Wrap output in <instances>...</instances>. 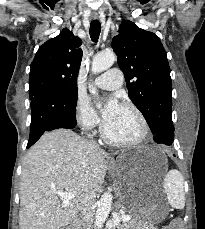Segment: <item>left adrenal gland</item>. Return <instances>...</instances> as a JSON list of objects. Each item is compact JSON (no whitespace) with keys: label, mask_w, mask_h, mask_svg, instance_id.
I'll use <instances>...</instances> for the list:
<instances>
[{"label":"left adrenal gland","mask_w":205,"mask_h":229,"mask_svg":"<svg viewBox=\"0 0 205 229\" xmlns=\"http://www.w3.org/2000/svg\"><path fill=\"white\" fill-rule=\"evenodd\" d=\"M119 207H120V204L117 205V210L119 209Z\"/></svg>","instance_id":"obj_1"}]
</instances>
